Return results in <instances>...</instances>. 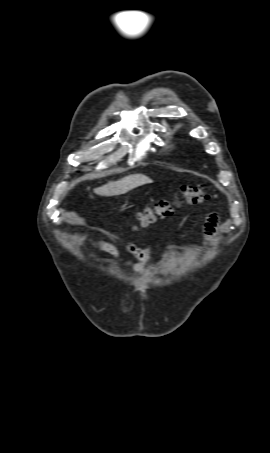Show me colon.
Returning <instances> with one entry per match:
<instances>
[{"mask_svg": "<svg viewBox=\"0 0 270 453\" xmlns=\"http://www.w3.org/2000/svg\"><path fill=\"white\" fill-rule=\"evenodd\" d=\"M210 199V195L201 185H183L180 188V199L172 201L164 200L156 204L152 208L143 210L138 215V226L145 227L153 223L158 218H163L171 215L174 208L179 206L181 200L189 204H198Z\"/></svg>", "mask_w": 270, "mask_h": 453, "instance_id": "colon-1", "label": "colon"}]
</instances>
